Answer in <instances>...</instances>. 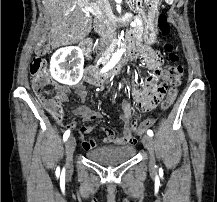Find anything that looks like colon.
<instances>
[{
    "label": "colon",
    "instance_id": "obj_1",
    "mask_svg": "<svg viewBox=\"0 0 217 202\" xmlns=\"http://www.w3.org/2000/svg\"><path fill=\"white\" fill-rule=\"evenodd\" d=\"M158 29L162 36L167 37L171 32V25L167 19L165 13H160L157 19ZM51 41H53V36H39V46H51ZM163 50L167 55L169 61L173 64L162 69H159L157 74L161 75L159 79L160 82H165L166 85L173 86V89L167 94V99L164 100L165 106L162 107L163 110L168 109L175 101L177 97V87L181 83L184 77V67L179 63L180 55L178 54L175 47L170 42L164 44ZM35 54H45V49H35ZM53 63H48L47 59H42V56H33L30 62V74L33 78L32 86L35 93L39 96L40 103H43L47 108H50L52 112L61 111L63 108V103H67V98H65V93H56L60 90L58 80H48L50 78V73H48V68H53ZM161 88L162 87H156ZM149 95H156V90H149ZM138 102H159L162 96H135ZM155 119L148 118L142 123L138 124L136 128L137 135L140 136L144 134L152 125H154ZM60 128L64 127L63 123L59 124Z\"/></svg>",
    "mask_w": 217,
    "mask_h": 202
}]
</instances>
